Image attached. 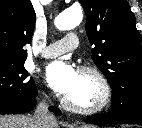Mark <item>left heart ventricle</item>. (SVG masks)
Instances as JSON below:
<instances>
[{"label": "left heart ventricle", "instance_id": "obj_1", "mask_svg": "<svg viewBox=\"0 0 142 128\" xmlns=\"http://www.w3.org/2000/svg\"><path fill=\"white\" fill-rule=\"evenodd\" d=\"M100 95L97 82L90 76L80 74V82L76 90L68 96L73 102L88 106L95 103Z\"/></svg>", "mask_w": 142, "mask_h": 128}]
</instances>
